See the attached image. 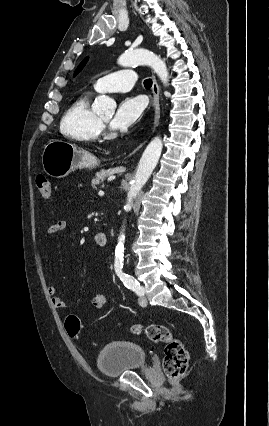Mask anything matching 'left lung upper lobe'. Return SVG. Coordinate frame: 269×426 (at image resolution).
<instances>
[{"mask_svg":"<svg viewBox=\"0 0 269 426\" xmlns=\"http://www.w3.org/2000/svg\"><path fill=\"white\" fill-rule=\"evenodd\" d=\"M87 60H88V58H85L81 63H80V65L78 66V68L76 69V71H75V75H77L81 70H82V68L85 66V64H86V62H87Z\"/></svg>","mask_w":269,"mask_h":426,"instance_id":"obj_1","label":"left lung upper lobe"}]
</instances>
